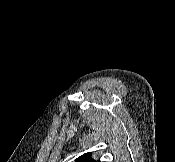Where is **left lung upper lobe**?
Returning <instances> with one entry per match:
<instances>
[{"instance_id": "obj_1", "label": "left lung upper lobe", "mask_w": 175, "mask_h": 162, "mask_svg": "<svg viewBox=\"0 0 175 162\" xmlns=\"http://www.w3.org/2000/svg\"><path fill=\"white\" fill-rule=\"evenodd\" d=\"M76 162H96L91 158V153H85L76 159Z\"/></svg>"}]
</instances>
